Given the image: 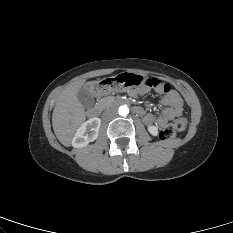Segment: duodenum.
<instances>
[{"label": "duodenum", "mask_w": 233, "mask_h": 233, "mask_svg": "<svg viewBox=\"0 0 233 233\" xmlns=\"http://www.w3.org/2000/svg\"><path fill=\"white\" fill-rule=\"evenodd\" d=\"M115 102L119 105H123V104L128 103L125 99H122V98L116 99ZM134 111L136 113H139V108H135ZM99 114H100V109L98 107H93V108L88 110V117L89 118H92V119L98 118Z\"/></svg>", "instance_id": "410a0bca"}]
</instances>
